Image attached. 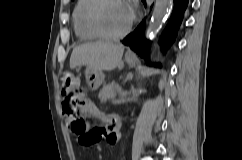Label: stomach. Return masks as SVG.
<instances>
[{
	"mask_svg": "<svg viewBox=\"0 0 242 160\" xmlns=\"http://www.w3.org/2000/svg\"><path fill=\"white\" fill-rule=\"evenodd\" d=\"M125 61L130 65L135 64V59L129 55L125 56ZM86 83L90 90H97L104 82L105 75L102 71L86 70L85 72Z\"/></svg>",
	"mask_w": 242,
	"mask_h": 160,
	"instance_id": "stomach-1",
	"label": "stomach"
}]
</instances>
